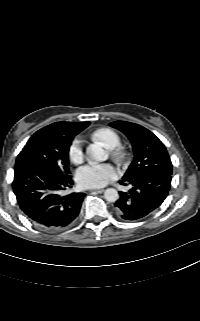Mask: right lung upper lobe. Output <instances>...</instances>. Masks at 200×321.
<instances>
[{
  "label": "right lung upper lobe",
  "instance_id": "cb5924a9",
  "mask_svg": "<svg viewBox=\"0 0 200 321\" xmlns=\"http://www.w3.org/2000/svg\"><path fill=\"white\" fill-rule=\"evenodd\" d=\"M90 122H55L46 126L57 137L71 138L86 128Z\"/></svg>",
  "mask_w": 200,
  "mask_h": 321
}]
</instances>
